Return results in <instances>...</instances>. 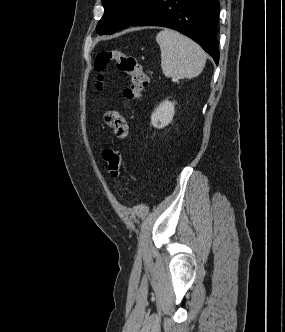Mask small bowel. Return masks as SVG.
I'll use <instances>...</instances> for the list:
<instances>
[{"label": "small bowel", "mask_w": 285, "mask_h": 332, "mask_svg": "<svg viewBox=\"0 0 285 332\" xmlns=\"http://www.w3.org/2000/svg\"><path fill=\"white\" fill-rule=\"evenodd\" d=\"M105 122L113 128L115 135L119 139H125L128 135L129 127L124 119L118 112L111 111L105 115Z\"/></svg>", "instance_id": "c3829d8e"}]
</instances>
